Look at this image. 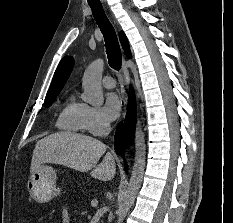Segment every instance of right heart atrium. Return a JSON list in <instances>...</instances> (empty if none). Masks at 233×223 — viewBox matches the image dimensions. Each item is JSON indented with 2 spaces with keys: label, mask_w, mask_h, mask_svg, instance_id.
<instances>
[{
  "label": "right heart atrium",
  "mask_w": 233,
  "mask_h": 223,
  "mask_svg": "<svg viewBox=\"0 0 233 223\" xmlns=\"http://www.w3.org/2000/svg\"><path fill=\"white\" fill-rule=\"evenodd\" d=\"M83 129L93 135H102L111 129V123L101 108L85 105Z\"/></svg>",
  "instance_id": "right-heart-atrium-1"
}]
</instances>
